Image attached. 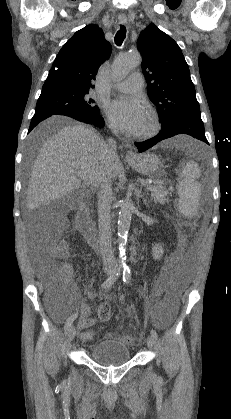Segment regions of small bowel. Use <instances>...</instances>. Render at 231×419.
<instances>
[{
    "mask_svg": "<svg viewBox=\"0 0 231 419\" xmlns=\"http://www.w3.org/2000/svg\"><path fill=\"white\" fill-rule=\"evenodd\" d=\"M176 255H172L168 261L164 269L162 270L159 280L157 282V292L159 294H164V304L167 307V316L172 317L177 309L178 306V290L176 285L169 281L167 278V270L171 267L172 261L175 259ZM97 298L104 299L106 297L105 293H101ZM104 306V305H102ZM100 306V307H102ZM78 309L80 311V319L78 321V329L81 331L82 338L86 341L91 340L93 333L88 330L89 327L93 326L96 322V320L92 317H90V309L89 306L80 303L78 305Z\"/></svg>",
    "mask_w": 231,
    "mask_h": 419,
    "instance_id": "obj_1",
    "label": "small bowel"
}]
</instances>
